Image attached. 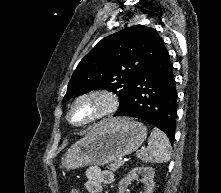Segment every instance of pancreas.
Instances as JSON below:
<instances>
[{
  "label": "pancreas",
  "instance_id": "cf45deb5",
  "mask_svg": "<svg viewBox=\"0 0 221 193\" xmlns=\"http://www.w3.org/2000/svg\"><path fill=\"white\" fill-rule=\"evenodd\" d=\"M123 165H124L123 162H121L120 160H116L114 163H112L108 166V169L115 172Z\"/></svg>",
  "mask_w": 221,
  "mask_h": 193
}]
</instances>
